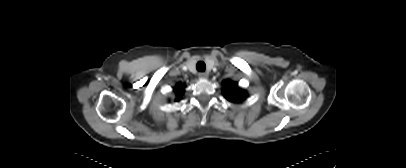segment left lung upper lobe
Instances as JSON below:
<instances>
[{"label":"left lung upper lobe","instance_id":"5c2ea615","mask_svg":"<svg viewBox=\"0 0 406 168\" xmlns=\"http://www.w3.org/2000/svg\"><path fill=\"white\" fill-rule=\"evenodd\" d=\"M223 94L231 102H237L247 96L243 90L238 88V84L231 80L223 82Z\"/></svg>","mask_w":406,"mask_h":168}]
</instances>
